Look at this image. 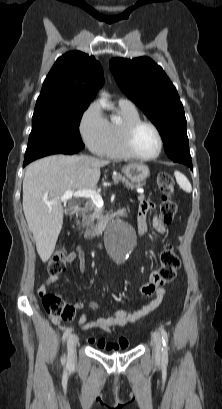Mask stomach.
I'll list each match as a JSON object with an SVG mask.
<instances>
[{
    "label": "stomach",
    "mask_w": 222,
    "mask_h": 409,
    "mask_svg": "<svg viewBox=\"0 0 222 409\" xmlns=\"http://www.w3.org/2000/svg\"><path fill=\"white\" fill-rule=\"evenodd\" d=\"M124 175L132 182H143L149 175L150 171L147 165L143 163H130L122 168Z\"/></svg>",
    "instance_id": "stomach-1"
}]
</instances>
